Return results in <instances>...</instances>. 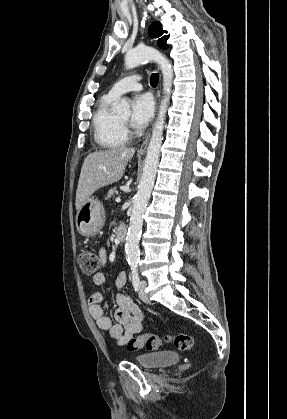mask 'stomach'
<instances>
[{
  "label": "stomach",
  "instance_id": "1",
  "mask_svg": "<svg viewBox=\"0 0 287 419\" xmlns=\"http://www.w3.org/2000/svg\"><path fill=\"white\" fill-rule=\"evenodd\" d=\"M104 221L103 205L94 197L88 198L76 215V227L79 233L85 237L98 234L104 225Z\"/></svg>",
  "mask_w": 287,
  "mask_h": 419
}]
</instances>
